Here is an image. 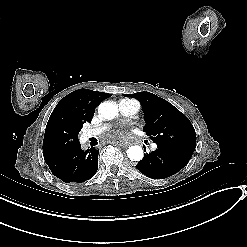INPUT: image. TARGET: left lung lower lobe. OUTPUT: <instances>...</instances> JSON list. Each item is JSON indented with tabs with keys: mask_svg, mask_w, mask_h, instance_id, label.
<instances>
[{
	"mask_svg": "<svg viewBox=\"0 0 247 247\" xmlns=\"http://www.w3.org/2000/svg\"><path fill=\"white\" fill-rule=\"evenodd\" d=\"M192 154L173 146H158L138 162L136 168L153 179H164L176 174L187 165Z\"/></svg>",
	"mask_w": 247,
	"mask_h": 247,
	"instance_id": "left-lung-lower-lobe-1",
	"label": "left lung lower lobe"
}]
</instances>
